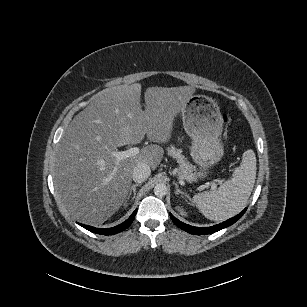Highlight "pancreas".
<instances>
[{
	"mask_svg": "<svg viewBox=\"0 0 307 307\" xmlns=\"http://www.w3.org/2000/svg\"><path fill=\"white\" fill-rule=\"evenodd\" d=\"M167 152L169 156H172L177 160L179 164V172L178 176L180 179H185L186 181L192 182L196 181L197 178L195 176L196 167L192 165L184 155L181 154L180 149H176L174 146L168 147Z\"/></svg>",
	"mask_w": 307,
	"mask_h": 307,
	"instance_id": "obj_1",
	"label": "pancreas"
}]
</instances>
